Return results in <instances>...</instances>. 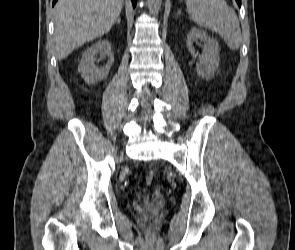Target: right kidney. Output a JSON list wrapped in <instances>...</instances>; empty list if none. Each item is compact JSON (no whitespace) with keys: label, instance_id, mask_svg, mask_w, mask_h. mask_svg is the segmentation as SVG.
<instances>
[{"label":"right kidney","instance_id":"1","mask_svg":"<svg viewBox=\"0 0 295 250\" xmlns=\"http://www.w3.org/2000/svg\"><path fill=\"white\" fill-rule=\"evenodd\" d=\"M97 53L108 56L106 66L99 68L95 65L94 60ZM113 62L114 57L111 51V43L108 40L98 41L83 52L78 65V71L86 83L94 84L106 77Z\"/></svg>","mask_w":295,"mask_h":250}]
</instances>
